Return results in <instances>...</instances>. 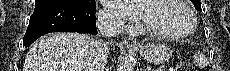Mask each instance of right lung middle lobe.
<instances>
[{"mask_svg": "<svg viewBox=\"0 0 230 71\" xmlns=\"http://www.w3.org/2000/svg\"><path fill=\"white\" fill-rule=\"evenodd\" d=\"M42 3H71L77 4L86 8H95V0H36L35 5Z\"/></svg>", "mask_w": 230, "mask_h": 71, "instance_id": "right-lung-middle-lobe-1", "label": "right lung middle lobe"}]
</instances>
